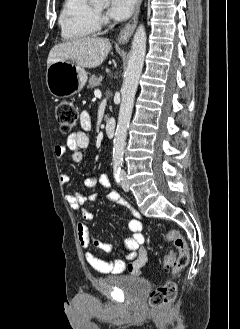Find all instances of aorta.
I'll return each mask as SVG.
<instances>
[{
  "label": "aorta",
  "instance_id": "762f6f07",
  "mask_svg": "<svg viewBox=\"0 0 240 329\" xmlns=\"http://www.w3.org/2000/svg\"><path fill=\"white\" fill-rule=\"evenodd\" d=\"M92 3L108 6L110 0H90ZM146 53V32L143 25H140L135 32L130 56L128 60L125 78L121 88V105L118 117L117 129L113 143V164L119 166L123 161L124 147L129 127L134 98L141 77Z\"/></svg>",
  "mask_w": 240,
  "mask_h": 329
}]
</instances>
